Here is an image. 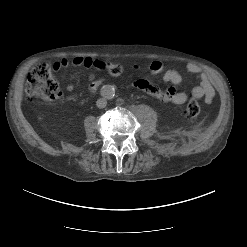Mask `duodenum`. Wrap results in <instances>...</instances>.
Segmentation results:
<instances>
[{"label": "duodenum", "instance_id": "obj_1", "mask_svg": "<svg viewBox=\"0 0 247 247\" xmlns=\"http://www.w3.org/2000/svg\"><path fill=\"white\" fill-rule=\"evenodd\" d=\"M101 80H98L96 83H95V87H98L100 84H101Z\"/></svg>", "mask_w": 247, "mask_h": 247}]
</instances>
